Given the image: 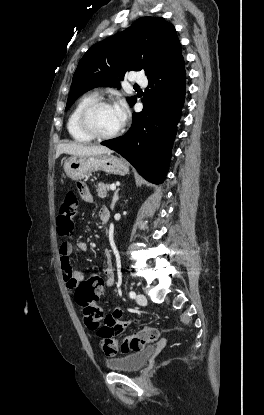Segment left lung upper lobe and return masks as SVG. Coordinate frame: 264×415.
Listing matches in <instances>:
<instances>
[{
	"label": "left lung upper lobe",
	"instance_id": "left-lung-upper-lobe-1",
	"mask_svg": "<svg viewBox=\"0 0 264 415\" xmlns=\"http://www.w3.org/2000/svg\"><path fill=\"white\" fill-rule=\"evenodd\" d=\"M181 44L171 23L142 17L125 31L92 46L74 73L65 110L95 87H119L127 71L144 70L147 77L181 57ZM130 106L136 97L127 98Z\"/></svg>",
	"mask_w": 264,
	"mask_h": 415
}]
</instances>
